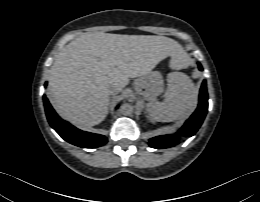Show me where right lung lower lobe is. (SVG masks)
I'll return each instance as SVG.
<instances>
[{
  "mask_svg": "<svg viewBox=\"0 0 260 202\" xmlns=\"http://www.w3.org/2000/svg\"><path fill=\"white\" fill-rule=\"evenodd\" d=\"M43 101L48 122L67 142L82 148H96L107 143V138L104 135L81 131L68 122L62 120L56 114L45 95L43 96Z\"/></svg>",
  "mask_w": 260,
  "mask_h": 202,
  "instance_id": "98d812e1",
  "label": "right lung lower lobe"
}]
</instances>
